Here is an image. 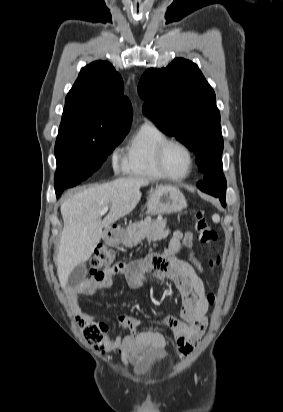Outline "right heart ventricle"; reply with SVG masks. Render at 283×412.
Masks as SVG:
<instances>
[{
  "mask_svg": "<svg viewBox=\"0 0 283 412\" xmlns=\"http://www.w3.org/2000/svg\"><path fill=\"white\" fill-rule=\"evenodd\" d=\"M168 135L157 125L147 121L129 140L121 169L124 173L135 176L161 178L156 165V154Z\"/></svg>",
  "mask_w": 283,
  "mask_h": 412,
  "instance_id": "e07e8e85",
  "label": "right heart ventricle"
}]
</instances>
